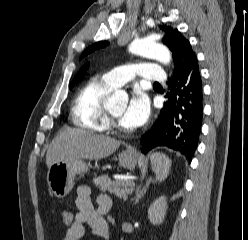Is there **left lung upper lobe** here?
<instances>
[{
	"label": "left lung upper lobe",
	"mask_w": 248,
	"mask_h": 240,
	"mask_svg": "<svg viewBox=\"0 0 248 240\" xmlns=\"http://www.w3.org/2000/svg\"><path fill=\"white\" fill-rule=\"evenodd\" d=\"M164 31L165 35L162 39L163 44H165L172 52V57L174 59V72L176 75L181 72L184 66L195 56L194 51L191 48L190 42L177 30L171 26H160ZM108 42H98L90 47H88L81 55V57L89 54L97 48L105 47Z\"/></svg>",
	"instance_id": "obj_1"
}]
</instances>
